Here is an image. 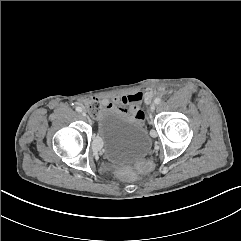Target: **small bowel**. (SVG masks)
<instances>
[{
	"label": "small bowel",
	"instance_id": "obj_1",
	"mask_svg": "<svg viewBox=\"0 0 241 241\" xmlns=\"http://www.w3.org/2000/svg\"><path fill=\"white\" fill-rule=\"evenodd\" d=\"M150 94L144 95L142 92H135L123 96L115 97L111 102L104 100V104L112 109H117L135 121L146 122L149 114L142 108H139L143 99L149 100Z\"/></svg>",
	"mask_w": 241,
	"mask_h": 241
}]
</instances>
